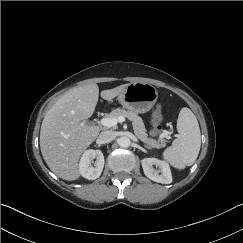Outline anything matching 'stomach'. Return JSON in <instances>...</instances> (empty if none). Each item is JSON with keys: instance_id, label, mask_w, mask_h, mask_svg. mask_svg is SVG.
I'll return each mask as SVG.
<instances>
[{"instance_id": "obj_1", "label": "stomach", "mask_w": 243, "mask_h": 243, "mask_svg": "<svg viewBox=\"0 0 243 243\" xmlns=\"http://www.w3.org/2000/svg\"><path fill=\"white\" fill-rule=\"evenodd\" d=\"M158 98L157 89L143 82L129 83L118 95L120 104L134 113H146L155 104Z\"/></svg>"}]
</instances>
